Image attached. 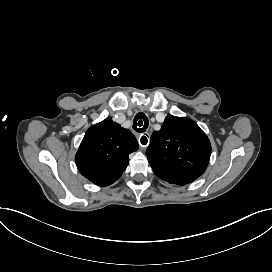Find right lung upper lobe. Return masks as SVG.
Masks as SVG:
<instances>
[{
	"label": "right lung upper lobe",
	"mask_w": 272,
	"mask_h": 272,
	"mask_svg": "<svg viewBox=\"0 0 272 272\" xmlns=\"http://www.w3.org/2000/svg\"><path fill=\"white\" fill-rule=\"evenodd\" d=\"M138 147L128 129L108 118L87 130L75 157L76 165L88 180L98 186H107L122 175L129 154Z\"/></svg>",
	"instance_id": "cb5924a9"
}]
</instances>
